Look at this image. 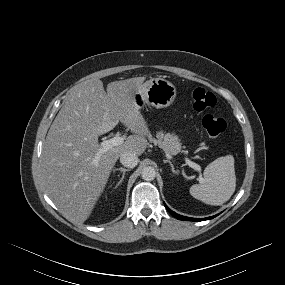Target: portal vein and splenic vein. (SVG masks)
Returning <instances> with one entry per match:
<instances>
[{
  "instance_id": "portal-vein-and-splenic-vein-1",
  "label": "portal vein and splenic vein",
  "mask_w": 285,
  "mask_h": 285,
  "mask_svg": "<svg viewBox=\"0 0 285 285\" xmlns=\"http://www.w3.org/2000/svg\"><path fill=\"white\" fill-rule=\"evenodd\" d=\"M123 142H124V138L120 137V136H114L113 138H111L109 140L102 141L99 144L100 149H99L98 155L106 152L107 150H109L110 148H112L114 146H118V145L123 144ZM167 156H169V154H167ZM185 161H186V164H188L193 169H195L197 171L201 170V167L198 164L192 162L188 158H185ZM199 181L203 182V178L199 177Z\"/></svg>"
}]
</instances>
